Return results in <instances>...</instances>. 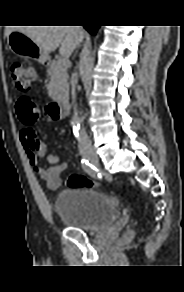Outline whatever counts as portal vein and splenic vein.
<instances>
[{"label": "portal vein and splenic vein", "instance_id": "1", "mask_svg": "<svg viewBox=\"0 0 184 292\" xmlns=\"http://www.w3.org/2000/svg\"><path fill=\"white\" fill-rule=\"evenodd\" d=\"M59 62L63 65V66H67L68 65V59L67 57H62Z\"/></svg>", "mask_w": 184, "mask_h": 292}]
</instances>
